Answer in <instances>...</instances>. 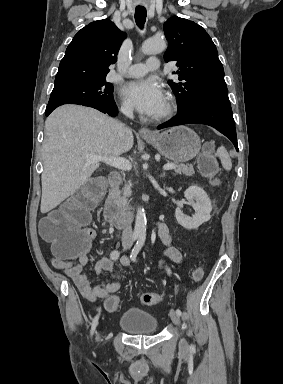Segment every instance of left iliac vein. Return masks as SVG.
Wrapping results in <instances>:
<instances>
[{
    "label": "left iliac vein",
    "instance_id": "left-iliac-vein-1",
    "mask_svg": "<svg viewBox=\"0 0 283 384\" xmlns=\"http://www.w3.org/2000/svg\"><path fill=\"white\" fill-rule=\"evenodd\" d=\"M169 316L172 320V322L176 325V326H179L180 324V318H179V315L174 311V310H170L169 312ZM179 347L182 351H186L188 349V343L187 341L185 340V338H181L180 339V342H179Z\"/></svg>",
    "mask_w": 283,
    "mask_h": 384
}]
</instances>
